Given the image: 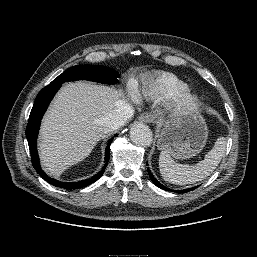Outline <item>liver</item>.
<instances>
[{
  "mask_svg": "<svg viewBox=\"0 0 257 257\" xmlns=\"http://www.w3.org/2000/svg\"><path fill=\"white\" fill-rule=\"evenodd\" d=\"M121 104L122 90L84 81L64 85L44 116L39 142L43 166L59 175L89 156L108 132L100 119Z\"/></svg>",
  "mask_w": 257,
  "mask_h": 257,
  "instance_id": "obj_1",
  "label": "liver"
}]
</instances>
